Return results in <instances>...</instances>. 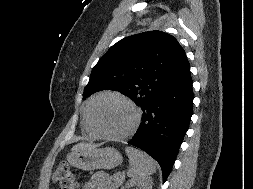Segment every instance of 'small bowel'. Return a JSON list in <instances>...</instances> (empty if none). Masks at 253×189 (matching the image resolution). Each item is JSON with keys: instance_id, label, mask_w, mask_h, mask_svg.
<instances>
[{"instance_id": "small-bowel-1", "label": "small bowel", "mask_w": 253, "mask_h": 189, "mask_svg": "<svg viewBox=\"0 0 253 189\" xmlns=\"http://www.w3.org/2000/svg\"><path fill=\"white\" fill-rule=\"evenodd\" d=\"M84 189H113L109 178L104 172L95 173Z\"/></svg>"}]
</instances>
